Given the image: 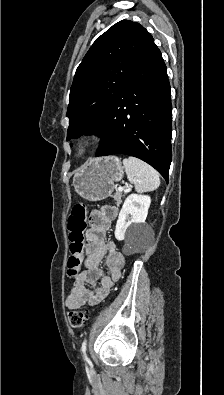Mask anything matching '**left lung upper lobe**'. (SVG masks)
<instances>
[{
	"mask_svg": "<svg viewBox=\"0 0 224 395\" xmlns=\"http://www.w3.org/2000/svg\"><path fill=\"white\" fill-rule=\"evenodd\" d=\"M155 47L151 34L129 20L119 21L96 39L71 86L67 140L100 133L108 108Z\"/></svg>",
	"mask_w": 224,
	"mask_h": 395,
	"instance_id": "obj_1",
	"label": "left lung upper lobe"
}]
</instances>
